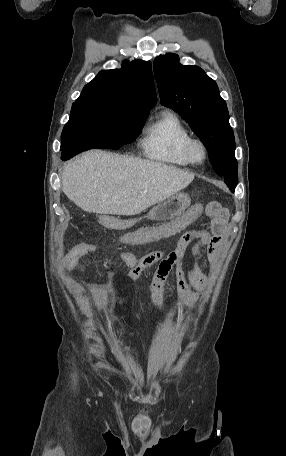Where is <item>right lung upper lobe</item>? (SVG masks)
Returning a JSON list of instances; mask_svg holds the SVG:
<instances>
[{
    "instance_id": "cb5924a9",
    "label": "right lung upper lobe",
    "mask_w": 286,
    "mask_h": 456,
    "mask_svg": "<svg viewBox=\"0 0 286 456\" xmlns=\"http://www.w3.org/2000/svg\"><path fill=\"white\" fill-rule=\"evenodd\" d=\"M157 102L151 63L125 61L121 69L102 70L82 90L75 104L106 106L149 114Z\"/></svg>"
}]
</instances>
